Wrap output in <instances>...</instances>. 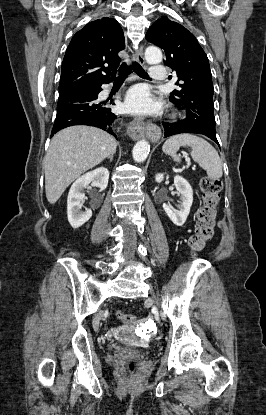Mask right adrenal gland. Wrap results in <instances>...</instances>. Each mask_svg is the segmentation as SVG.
<instances>
[{
    "label": "right adrenal gland",
    "mask_w": 266,
    "mask_h": 415,
    "mask_svg": "<svg viewBox=\"0 0 266 415\" xmlns=\"http://www.w3.org/2000/svg\"><path fill=\"white\" fill-rule=\"evenodd\" d=\"M113 156H114V154H111L109 157H107L110 160V162H112Z\"/></svg>",
    "instance_id": "2a0ac1e0"
}]
</instances>
